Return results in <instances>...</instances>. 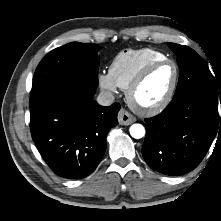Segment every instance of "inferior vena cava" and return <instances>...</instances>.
Segmentation results:
<instances>
[{
	"instance_id": "inferior-vena-cava-1",
	"label": "inferior vena cava",
	"mask_w": 221,
	"mask_h": 221,
	"mask_svg": "<svg viewBox=\"0 0 221 221\" xmlns=\"http://www.w3.org/2000/svg\"><path fill=\"white\" fill-rule=\"evenodd\" d=\"M115 100L113 94L109 91H101L97 97V103L101 106H109Z\"/></svg>"
}]
</instances>
